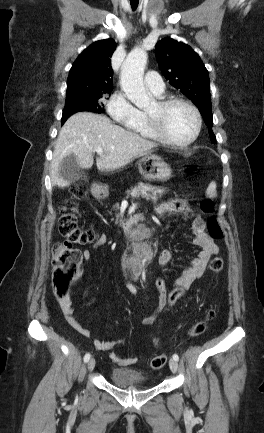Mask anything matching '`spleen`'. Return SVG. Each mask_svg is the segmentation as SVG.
<instances>
[{
    "instance_id": "spleen-1",
    "label": "spleen",
    "mask_w": 264,
    "mask_h": 433,
    "mask_svg": "<svg viewBox=\"0 0 264 433\" xmlns=\"http://www.w3.org/2000/svg\"><path fill=\"white\" fill-rule=\"evenodd\" d=\"M216 182L213 181L209 184L208 188H207V194L211 197L216 196Z\"/></svg>"
}]
</instances>
